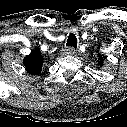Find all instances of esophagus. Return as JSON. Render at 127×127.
Listing matches in <instances>:
<instances>
[{"instance_id": "obj_1", "label": "esophagus", "mask_w": 127, "mask_h": 127, "mask_svg": "<svg viewBox=\"0 0 127 127\" xmlns=\"http://www.w3.org/2000/svg\"><path fill=\"white\" fill-rule=\"evenodd\" d=\"M75 53V49L72 48V47H68V48H65V49H62L61 50V54L63 56H66V55H73Z\"/></svg>"}]
</instances>
